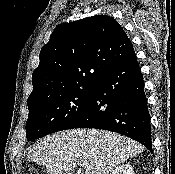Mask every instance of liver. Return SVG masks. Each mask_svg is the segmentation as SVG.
I'll list each match as a JSON object with an SVG mask.
<instances>
[{
    "mask_svg": "<svg viewBox=\"0 0 175 174\" xmlns=\"http://www.w3.org/2000/svg\"><path fill=\"white\" fill-rule=\"evenodd\" d=\"M144 147L123 135L99 129H73L37 141L27 159L46 167L47 174H72L86 163L85 174H110ZM33 167H29L32 171Z\"/></svg>",
    "mask_w": 175,
    "mask_h": 174,
    "instance_id": "1",
    "label": "liver"
}]
</instances>
